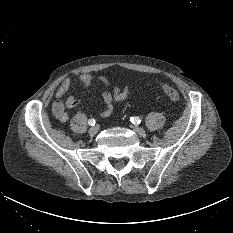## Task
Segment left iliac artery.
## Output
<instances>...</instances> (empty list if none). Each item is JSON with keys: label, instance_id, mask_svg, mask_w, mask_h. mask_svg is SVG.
Masks as SVG:
<instances>
[{"label": "left iliac artery", "instance_id": "44dca946", "mask_svg": "<svg viewBox=\"0 0 233 233\" xmlns=\"http://www.w3.org/2000/svg\"><path fill=\"white\" fill-rule=\"evenodd\" d=\"M130 121L133 123V124H140L141 123V120L139 117H131L130 118Z\"/></svg>", "mask_w": 233, "mask_h": 233}]
</instances>
